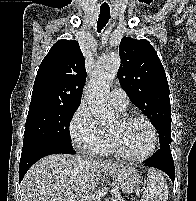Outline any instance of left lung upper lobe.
Here are the masks:
<instances>
[{
	"label": "left lung upper lobe",
	"instance_id": "5c2ea615",
	"mask_svg": "<svg viewBox=\"0 0 196 201\" xmlns=\"http://www.w3.org/2000/svg\"><path fill=\"white\" fill-rule=\"evenodd\" d=\"M118 79L130 100L150 119L159 133L160 147L171 144L169 85L162 63L147 40L123 37Z\"/></svg>",
	"mask_w": 196,
	"mask_h": 201
}]
</instances>
